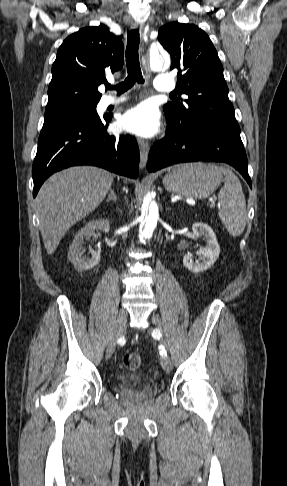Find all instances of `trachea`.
I'll return each mask as SVG.
<instances>
[{"label":"trachea","instance_id":"obj_1","mask_svg":"<svg viewBox=\"0 0 287 486\" xmlns=\"http://www.w3.org/2000/svg\"><path fill=\"white\" fill-rule=\"evenodd\" d=\"M139 30H131L127 35L126 47V66L127 78L116 86L107 84V89H115L118 94H122L130 89L136 82L144 83L140 62H139ZM172 95V94H171Z\"/></svg>","mask_w":287,"mask_h":486}]
</instances>
